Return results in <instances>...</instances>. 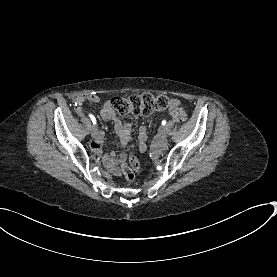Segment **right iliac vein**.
Segmentation results:
<instances>
[{
    "label": "right iliac vein",
    "mask_w": 277,
    "mask_h": 277,
    "mask_svg": "<svg viewBox=\"0 0 277 277\" xmlns=\"http://www.w3.org/2000/svg\"><path fill=\"white\" fill-rule=\"evenodd\" d=\"M91 136L93 138H97L98 137V128L95 125L91 126Z\"/></svg>",
    "instance_id": "obj_1"
}]
</instances>
